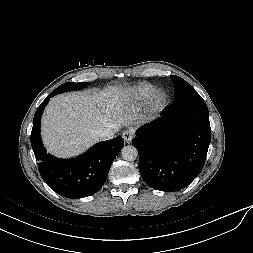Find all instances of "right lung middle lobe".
Instances as JSON below:
<instances>
[{"mask_svg": "<svg viewBox=\"0 0 253 253\" xmlns=\"http://www.w3.org/2000/svg\"><path fill=\"white\" fill-rule=\"evenodd\" d=\"M87 85L86 82H79V83H73V82H66L59 87L55 89L58 93L71 91V90H77L85 87Z\"/></svg>", "mask_w": 253, "mask_h": 253, "instance_id": "1", "label": "right lung middle lobe"}]
</instances>
